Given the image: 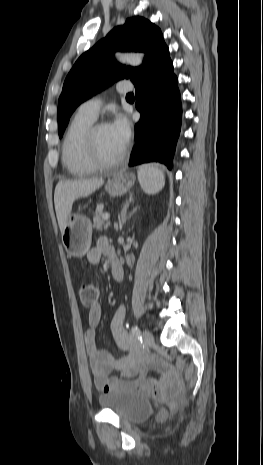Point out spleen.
I'll list each match as a JSON object with an SVG mask.
<instances>
[{"label": "spleen", "instance_id": "3e777b00", "mask_svg": "<svg viewBox=\"0 0 263 465\" xmlns=\"http://www.w3.org/2000/svg\"><path fill=\"white\" fill-rule=\"evenodd\" d=\"M138 180L141 188L147 194L159 192L164 185L162 172L155 166H145L138 170Z\"/></svg>", "mask_w": 263, "mask_h": 465}]
</instances>
